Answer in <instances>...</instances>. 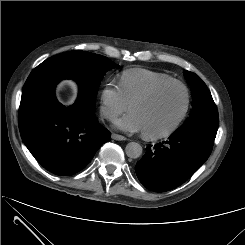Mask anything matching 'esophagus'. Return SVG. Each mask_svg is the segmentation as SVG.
<instances>
[{
	"label": "esophagus",
	"instance_id": "esophagus-1",
	"mask_svg": "<svg viewBox=\"0 0 245 245\" xmlns=\"http://www.w3.org/2000/svg\"><path fill=\"white\" fill-rule=\"evenodd\" d=\"M111 138L114 139V140H118V141L127 140V138L125 136H122V135H119V134H116V133H112L111 134Z\"/></svg>",
	"mask_w": 245,
	"mask_h": 245
}]
</instances>
